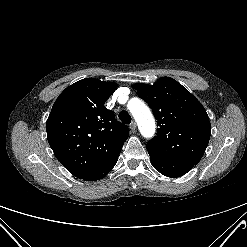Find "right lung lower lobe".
<instances>
[{
  "label": "right lung lower lobe",
  "mask_w": 247,
  "mask_h": 247,
  "mask_svg": "<svg viewBox=\"0 0 247 247\" xmlns=\"http://www.w3.org/2000/svg\"><path fill=\"white\" fill-rule=\"evenodd\" d=\"M116 162H117V159L85 180L86 181H95V180L103 178L105 175H107L112 170V168L115 166Z\"/></svg>",
  "instance_id": "right-lung-lower-lobe-1"
}]
</instances>
